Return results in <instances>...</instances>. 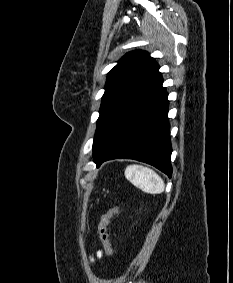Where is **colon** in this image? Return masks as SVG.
I'll return each instance as SVG.
<instances>
[{
	"instance_id": "colon-1",
	"label": "colon",
	"mask_w": 233,
	"mask_h": 283,
	"mask_svg": "<svg viewBox=\"0 0 233 283\" xmlns=\"http://www.w3.org/2000/svg\"><path fill=\"white\" fill-rule=\"evenodd\" d=\"M120 211V206H114L109 209L105 214H103L100 218L98 224V233L106 254L110 257L114 255V249L110 241L109 233H108V225L111 219L117 215Z\"/></svg>"
}]
</instances>
